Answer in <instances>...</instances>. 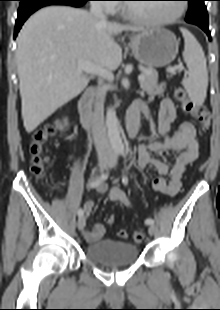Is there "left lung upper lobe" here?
I'll list each match as a JSON object with an SVG mask.
<instances>
[{
	"mask_svg": "<svg viewBox=\"0 0 220 310\" xmlns=\"http://www.w3.org/2000/svg\"><path fill=\"white\" fill-rule=\"evenodd\" d=\"M189 2V10L186 16V22L195 25L208 26V15L205 0H187Z\"/></svg>",
	"mask_w": 220,
	"mask_h": 310,
	"instance_id": "1",
	"label": "left lung upper lobe"
}]
</instances>
